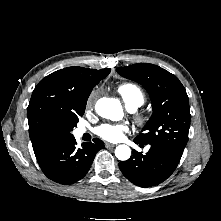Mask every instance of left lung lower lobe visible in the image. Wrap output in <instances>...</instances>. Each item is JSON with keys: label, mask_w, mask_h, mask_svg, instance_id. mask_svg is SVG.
<instances>
[{"label": "left lung lower lobe", "mask_w": 221, "mask_h": 221, "mask_svg": "<svg viewBox=\"0 0 221 221\" xmlns=\"http://www.w3.org/2000/svg\"><path fill=\"white\" fill-rule=\"evenodd\" d=\"M150 146L145 155L133 149L132 157L119 163L123 175L137 186L151 187L162 183L174 172L182 157V153L168 147Z\"/></svg>", "instance_id": "left-lung-lower-lobe-1"}]
</instances>
